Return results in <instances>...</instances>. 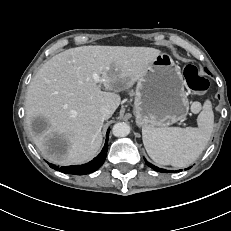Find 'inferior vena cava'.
Returning a JSON list of instances; mask_svg holds the SVG:
<instances>
[{"label":"inferior vena cava","mask_w":231,"mask_h":231,"mask_svg":"<svg viewBox=\"0 0 231 231\" xmlns=\"http://www.w3.org/2000/svg\"><path fill=\"white\" fill-rule=\"evenodd\" d=\"M100 113L104 119H107L112 116L113 110L109 106L104 105L100 108Z\"/></svg>","instance_id":"obj_1"}]
</instances>
